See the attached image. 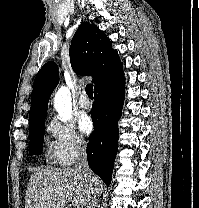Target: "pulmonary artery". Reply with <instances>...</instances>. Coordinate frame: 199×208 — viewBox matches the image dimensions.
<instances>
[{
  "label": "pulmonary artery",
  "instance_id": "obj_1",
  "mask_svg": "<svg viewBox=\"0 0 199 208\" xmlns=\"http://www.w3.org/2000/svg\"><path fill=\"white\" fill-rule=\"evenodd\" d=\"M78 105H79L80 108H83V109L90 108L91 102H90V100L87 97V94L85 92H83L81 97L79 98Z\"/></svg>",
  "mask_w": 199,
  "mask_h": 208
}]
</instances>
